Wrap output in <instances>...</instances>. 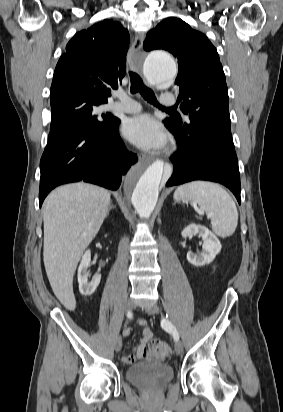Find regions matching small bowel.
Here are the masks:
<instances>
[{
  "mask_svg": "<svg viewBox=\"0 0 283 412\" xmlns=\"http://www.w3.org/2000/svg\"><path fill=\"white\" fill-rule=\"evenodd\" d=\"M137 326L142 327V334L143 337L140 340L139 344L135 347L134 351L131 354H128L122 358V361L126 364H133L144 360L148 354L146 351V344L152 338V332L147 326V322L145 319H139L136 323ZM132 331V328H126L124 330L125 335H129Z\"/></svg>",
  "mask_w": 283,
  "mask_h": 412,
  "instance_id": "obj_1",
  "label": "small bowel"
}]
</instances>
